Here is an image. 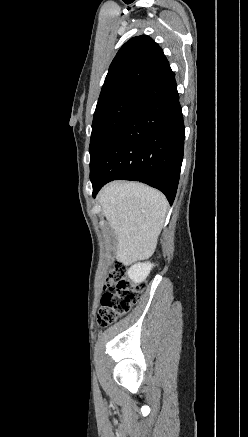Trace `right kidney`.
Segmentation results:
<instances>
[{
    "mask_svg": "<svg viewBox=\"0 0 248 437\" xmlns=\"http://www.w3.org/2000/svg\"><path fill=\"white\" fill-rule=\"evenodd\" d=\"M153 266L150 262L137 263L127 273L133 283L139 284L147 278Z\"/></svg>",
    "mask_w": 248,
    "mask_h": 437,
    "instance_id": "right-kidney-1",
    "label": "right kidney"
}]
</instances>
